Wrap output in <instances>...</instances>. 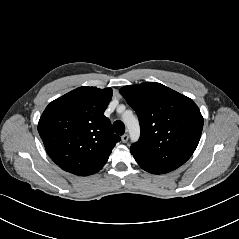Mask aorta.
<instances>
[{
	"instance_id": "aorta-1",
	"label": "aorta",
	"mask_w": 239,
	"mask_h": 239,
	"mask_svg": "<svg viewBox=\"0 0 239 239\" xmlns=\"http://www.w3.org/2000/svg\"><path fill=\"white\" fill-rule=\"evenodd\" d=\"M123 122L129 131L131 139L137 141L140 135L138 119L134 115L129 114L123 116Z\"/></svg>"
}]
</instances>
